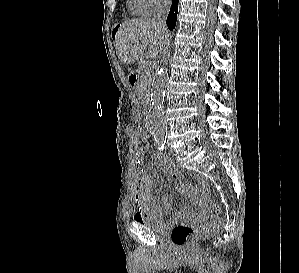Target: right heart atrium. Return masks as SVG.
Here are the masks:
<instances>
[{"label":"right heart atrium","mask_w":299,"mask_h":273,"mask_svg":"<svg viewBox=\"0 0 299 273\" xmlns=\"http://www.w3.org/2000/svg\"><path fill=\"white\" fill-rule=\"evenodd\" d=\"M136 2L145 14H149L163 6L167 0H136Z\"/></svg>","instance_id":"right-heart-atrium-1"}]
</instances>
